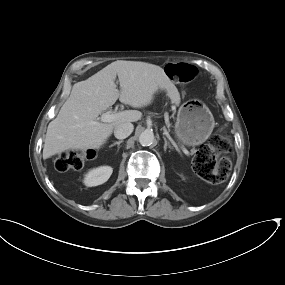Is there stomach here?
Listing matches in <instances>:
<instances>
[{"mask_svg":"<svg viewBox=\"0 0 285 285\" xmlns=\"http://www.w3.org/2000/svg\"><path fill=\"white\" fill-rule=\"evenodd\" d=\"M214 125L208 107L199 100H189L178 110L175 135L182 144L196 146L209 138Z\"/></svg>","mask_w":285,"mask_h":285,"instance_id":"stomach-1","label":"stomach"}]
</instances>
